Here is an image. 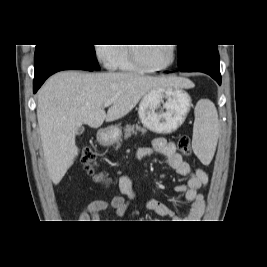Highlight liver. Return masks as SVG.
Wrapping results in <instances>:
<instances>
[{
  "label": "liver",
  "mask_w": 267,
  "mask_h": 267,
  "mask_svg": "<svg viewBox=\"0 0 267 267\" xmlns=\"http://www.w3.org/2000/svg\"><path fill=\"white\" fill-rule=\"evenodd\" d=\"M193 88L181 77L134 73L63 71L50 77L38 92L37 119L47 170L57 185L78 156L75 134L82 124L100 127L127 115L150 90ZM113 101L107 114L104 103Z\"/></svg>",
  "instance_id": "1"
}]
</instances>
